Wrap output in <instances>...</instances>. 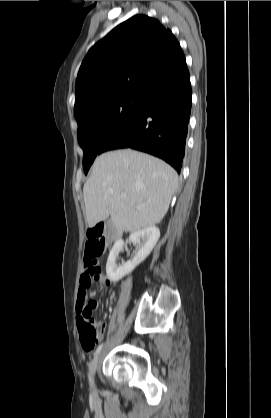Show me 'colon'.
Returning <instances> with one entry per match:
<instances>
[{
	"label": "colon",
	"mask_w": 271,
	"mask_h": 418,
	"mask_svg": "<svg viewBox=\"0 0 271 418\" xmlns=\"http://www.w3.org/2000/svg\"><path fill=\"white\" fill-rule=\"evenodd\" d=\"M108 230L107 226L101 222L87 230V242L85 245V260L88 262V276L85 278V284L91 285L96 278L101 275L98 265V258L104 253L107 246ZM82 299H87V294H82ZM84 305V303L82 304ZM78 330L80 341L85 351L92 350L99 340L103 324L97 323L93 319V314H81L78 319Z\"/></svg>",
	"instance_id": "obj_1"
}]
</instances>
